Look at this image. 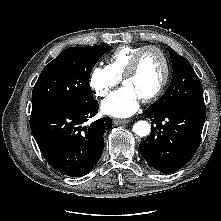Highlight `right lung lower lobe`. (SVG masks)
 <instances>
[{"instance_id":"1","label":"right lung lower lobe","mask_w":221,"mask_h":221,"mask_svg":"<svg viewBox=\"0 0 221 221\" xmlns=\"http://www.w3.org/2000/svg\"><path fill=\"white\" fill-rule=\"evenodd\" d=\"M94 99L85 104L51 105L32 110L33 136L46 161L61 174L82 177L98 162L104 148V133L110 117L85 123L98 112Z\"/></svg>"}]
</instances>
